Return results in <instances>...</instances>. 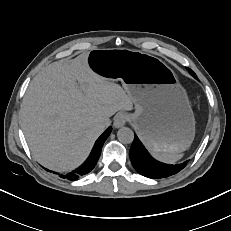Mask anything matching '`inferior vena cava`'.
Masks as SVG:
<instances>
[{
    "label": "inferior vena cava",
    "instance_id": "obj_1",
    "mask_svg": "<svg viewBox=\"0 0 231 231\" xmlns=\"http://www.w3.org/2000/svg\"><path fill=\"white\" fill-rule=\"evenodd\" d=\"M108 125H109L108 122L104 121L101 126L103 129H105Z\"/></svg>",
    "mask_w": 231,
    "mask_h": 231
}]
</instances>
